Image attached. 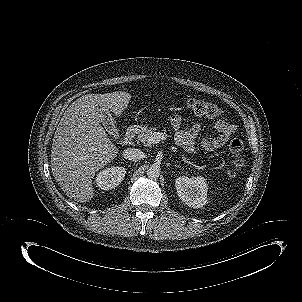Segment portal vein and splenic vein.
<instances>
[{
	"instance_id": "obj_1",
	"label": "portal vein and splenic vein",
	"mask_w": 302,
	"mask_h": 302,
	"mask_svg": "<svg viewBox=\"0 0 302 302\" xmlns=\"http://www.w3.org/2000/svg\"><path fill=\"white\" fill-rule=\"evenodd\" d=\"M162 137H163L162 133L157 132L150 137L149 143L150 144L158 143V142H160Z\"/></svg>"
}]
</instances>
